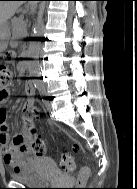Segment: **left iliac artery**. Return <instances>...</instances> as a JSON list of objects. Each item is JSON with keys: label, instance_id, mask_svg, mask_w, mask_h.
<instances>
[{"label": "left iliac artery", "instance_id": "1", "mask_svg": "<svg viewBox=\"0 0 137 189\" xmlns=\"http://www.w3.org/2000/svg\"><path fill=\"white\" fill-rule=\"evenodd\" d=\"M39 91H40V95H41V96H46V91H45V89L42 88V89H40Z\"/></svg>", "mask_w": 137, "mask_h": 189}]
</instances>
